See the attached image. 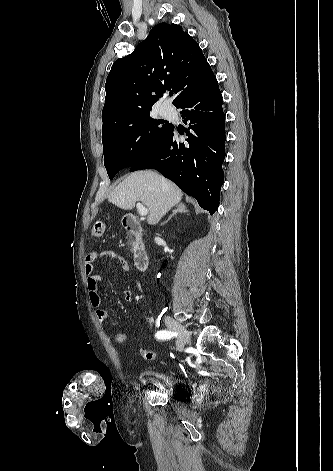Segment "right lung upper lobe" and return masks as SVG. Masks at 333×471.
Returning a JSON list of instances; mask_svg holds the SVG:
<instances>
[{
    "instance_id": "1",
    "label": "right lung upper lobe",
    "mask_w": 333,
    "mask_h": 471,
    "mask_svg": "<svg viewBox=\"0 0 333 471\" xmlns=\"http://www.w3.org/2000/svg\"><path fill=\"white\" fill-rule=\"evenodd\" d=\"M210 73L201 48L181 26L156 25L133 53L113 63L106 80L102 131L151 110L166 90L177 94V106Z\"/></svg>"
}]
</instances>
